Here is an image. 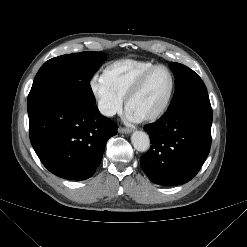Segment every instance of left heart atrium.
I'll return each mask as SVG.
<instances>
[{
	"label": "left heart atrium",
	"instance_id": "left-heart-atrium-1",
	"mask_svg": "<svg viewBox=\"0 0 247 247\" xmlns=\"http://www.w3.org/2000/svg\"><path fill=\"white\" fill-rule=\"evenodd\" d=\"M126 118L129 121L137 122L141 120L142 116L136 113L135 111H133L132 109L128 108L126 110Z\"/></svg>",
	"mask_w": 247,
	"mask_h": 247
}]
</instances>
